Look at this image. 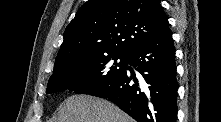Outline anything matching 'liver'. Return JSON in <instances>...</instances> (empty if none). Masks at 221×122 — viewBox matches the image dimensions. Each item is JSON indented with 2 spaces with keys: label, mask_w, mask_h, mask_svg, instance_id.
<instances>
[{
  "label": "liver",
  "mask_w": 221,
  "mask_h": 122,
  "mask_svg": "<svg viewBox=\"0 0 221 122\" xmlns=\"http://www.w3.org/2000/svg\"><path fill=\"white\" fill-rule=\"evenodd\" d=\"M57 122H133V119L107 100L73 95L60 105Z\"/></svg>",
  "instance_id": "obj_1"
}]
</instances>
